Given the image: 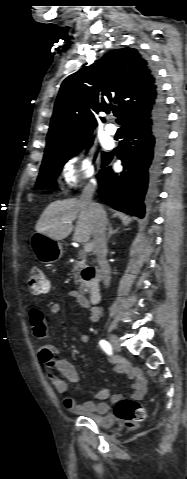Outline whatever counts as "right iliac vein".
<instances>
[{
    "instance_id": "1",
    "label": "right iliac vein",
    "mask_w": 187,
    "mask_h": 479,
    "mask_svg": "<svg viewBox=\"0 0 187 479\" xmlns=\"http://www.w3.org/2000/svg\"><path fill=\"white\" fill-rule=\"evenodd\" d=\"M110 343L115 350L117 351L121 350V345L116 335L114 334L110 335Z\"/></svg>"
}]
</instances>
